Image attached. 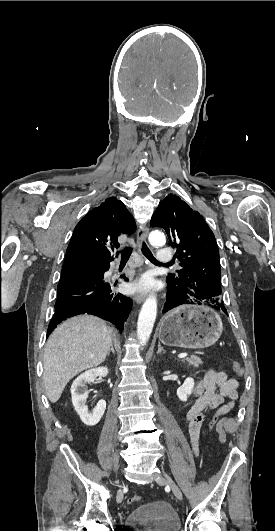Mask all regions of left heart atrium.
I'll return each mask as SVG.
<instances>
[{
  "label": "left heart atrium",
  "instance_id": "obj_1",
  "mask_svg": "<svg viewBox=\"0 0 275 531\" xmlns=\"http://www.w3.org/2000/svg\"><path fill=\"white\" fill-rule=\"evenodd\" d=\"M151 284L152 279L149 276H144L138 281L137 286L140 288H147L151 286Z\"/></svg>",
  "mask_w": 275,
  "mask_h": 531
}]
</instances>
